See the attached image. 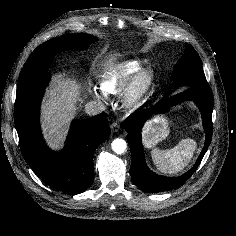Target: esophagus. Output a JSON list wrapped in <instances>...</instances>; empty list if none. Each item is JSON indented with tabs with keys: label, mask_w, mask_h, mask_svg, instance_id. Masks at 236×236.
Wrapping results in <instances>:
<instances>
[{
	"label": "esophagus",
	"mask_w": 236,
	"mask_h": 236,
	"mask_svg": "<svg viewBox=\"0 0 236 236\" xmlns=\"http://www.w3.org/2000/svg\"><path fill=\"white\" fill-rule=\"evenodd\" d=\"M120 128V125L117 122H114L110 125L111 132H117Z\"/></svg>",
	"instance_id": "esophagus-1"
}]
</instances>
